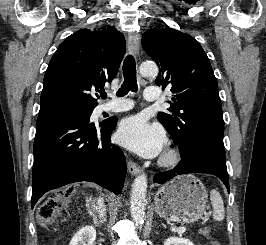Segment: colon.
I'll list each match as a JSON object with an SVG mask.
<instances>
[{
    "mask_svg": "<svg viewBox=\"0 0 266 245\" xmlns=\"http://www.w3.org/2000/svg\"><path fill=\"white\" fill-rule=\"evenodd\" d=\"M65 203V198L62 195L52 196L46 199L39 207L38 213L41 221L45 224H50L54 219V216L59 212ZM201 234L205 237H211V230L209 228H203ZM211 245H220L216 239L210 240Z\"/></svg>",
    "mask_w": 266,
    "mask_h": 245,
    "instance_id": "5ec220e1",
    "label": "colon"
}]
</instances>
